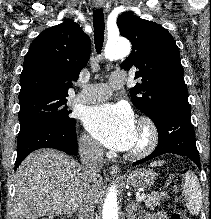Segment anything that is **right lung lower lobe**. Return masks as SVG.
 Wrapping results in <instances>:
<instances>
[{"mask_svg":"<svg viewBox=\"0 0 211 219\" xmlns=\"http://www.w3.org/2000/svg\"><path fill=\"white\" fill-rule=\"evenodd\" d=\"M40 148H55L74 155L78 150L75 125L66 128L54 123H39L20 130L15 169L29 153Z\"/></svg>","mask_w":211,"mask_h":219,"instance_id":"1","label":"right lung lower lobe"}]
</instances>
